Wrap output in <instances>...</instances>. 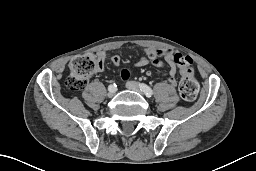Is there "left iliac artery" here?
Wrapping results in <instances>:
<instances>
[{
    "instance_id": "1",
    "label": "left iliac artery",
    "mask_w": 256,
    "mask_h": 171,
    "mask_svg": "<svg viewBox=\"0 0 256 171\" xmlns=\"http://www.w3.org/2000/svg\"><path fill=\"white\" fill-rule=\"evenodd\" d=\"M140 87L147 97H151L153 95V90L146 84L142 83L140 84Z\"/></svg>"
}]
</instances>
